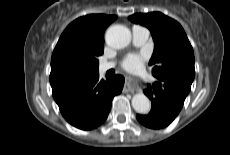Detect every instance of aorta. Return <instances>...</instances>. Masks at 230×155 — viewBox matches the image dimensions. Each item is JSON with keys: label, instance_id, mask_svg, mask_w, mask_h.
<instances>
[{"label": "aorta", "instance_id": "762f6f07", "mask_svg": "<svg viewBox=\"0 0 230 155\" xmlns=\"http://www.w3.org/2000/svg\"><path fill=\"white\" fill-rule=\"evenodd\" d=\"M105 41L112 48H125L131 41V32L123 25H113L107 29ZM132 107L138 113L147 114L150 111L151 103L146 95L137 93L132 98Z\"/></svg>", "mask_w": 230, "mask_h": 155}]
</instances>
